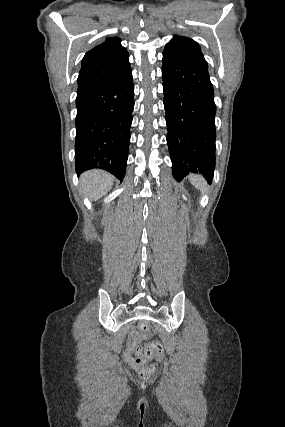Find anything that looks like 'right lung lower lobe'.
I'll return each instance as SVG.
<instances>
[{
	"mask_svg": "<svg viewBox=\"0 0 285 427\" xmlns=\"http://www.w3.org/2000/svg\"><path fill=\"white\" fill-rule=\"evenodd\" d=\"M76 107L77 174L99 168L122 181L134 108L132 72L119 79L78 90Z\"/></svg>",
	"mask_w": 285,
	"mask_h": 427,
	"instance_id": "1",
	"label": "right lung lower lobe"
}]
</instances>
